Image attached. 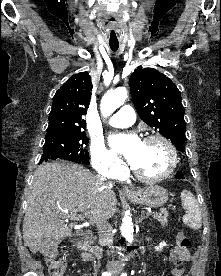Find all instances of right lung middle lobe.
Wrapping results in <instances>:
<instances>
[{"label": "right lung middle lobe", "instance_id": "right-lung-middle-lobe-1", "mask_svg": "<svg viewBox=\"0 0 221 276\" xmlns=\"http://www.w3.org/2000/svg\"><path fill=\"white\" fill-rule=\"evenodd\" d=\"M88 141L84 132L46 135L40 161L69 160L76 163H88L89 153L84 147Z\"/></svg>", "mask_w": 221, "mask_h": 276}]
</instances>
